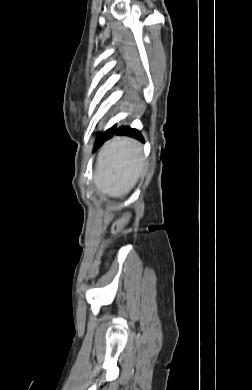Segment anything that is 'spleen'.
Returning <instances> with one entry per match:
<instances>
[{
    "instance_id": "1",
    "label": "spleen",
    "mask_w": 252,
    "mask_h": 390,
    "mask_svg": "<svg viewBox=\"0 0 252 390\" xmlns=\"http://www.w3.org/2000/svg\"><path fill=\"white\" fill-rule=\"evenodd\" d=\"M142 160L141 147L132 140L107 144L98 155L94 176L97 189L111 197L128 194L140 178Z\"/></svg>"
}]
</instances>
